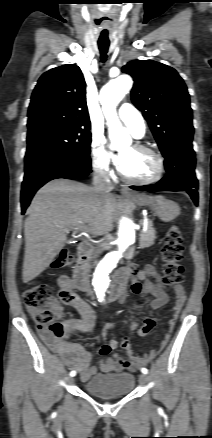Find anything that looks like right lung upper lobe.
<instances>
[{"label":"right lung upper lobe","instance_id":"right-lung-upper-lobe-1","mask_svg":"<svg viewBox=\"0 0 212 438\" xmlns=\"http://www.w3.org/2000/svg\"><path fill=\"white\" fill-rule=\"evenodd\" d=\"M85 90V79L75 64L45 72L31 96L28 129L48 125L89 129Z\"/></svg>","mask_w":212,"mask_h":438}]
</instances>
